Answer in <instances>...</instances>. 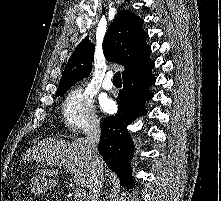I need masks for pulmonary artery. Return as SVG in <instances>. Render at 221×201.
Listing matches in <instances>:
<instances>
[{"instance_id":"1","label":"pulmonary artery","mask_w":221,"mask_h":201,"mask_svg":"<svg viewBox=\"0 0 221 201\" xmlns=\"http://www.w3.org/2000/svg\"><path fill=\"white\" fill-rule=\"evenodd\" d=\"M112 73H107L104 80H103V83H102V86L105 90H111L113 88V83H112Z\"/></svg>"}]
</instances>
